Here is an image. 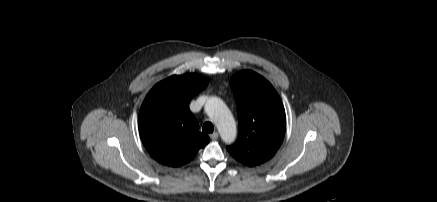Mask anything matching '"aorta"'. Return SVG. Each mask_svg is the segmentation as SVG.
<instances>
[{
    "instance_id": "obj_1",
    "label": "aorta",
    "mask_w": 437,
    "mask_h": 202,
    "mask_svg": "<svg viewBox=\"0 0 437 202\" xmlns=\"http://www.w3.org/2000/svg\"><path fill=\"white\" fill-rule=\"evenodd\" d=\"M205 111L214 121L221 139L230 144L237 134L234 117L226 104L218 97H211L205 104Z\"/></svg>"
}]
</instances>
